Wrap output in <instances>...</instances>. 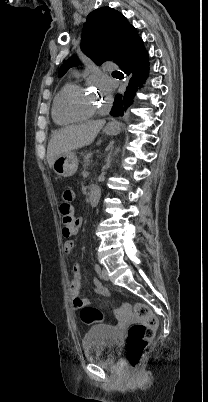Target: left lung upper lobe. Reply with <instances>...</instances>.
Wrapping results in <instances>:
<instances>
[{
    "label": "left lung upper lobe",
    "instance_id": "obj_1",
    "mask_svg": "<svg viewBox=\"0 0 208 402\" xmlns=\"http://www.w3.org/2000/svg\"><path fill=\"white\" fill-rule=\"evenodd\" d=\"M132 26L118 11L102 7L91 12L83 26L81 50L97 65L115 60ZM107 47V49H103ZM78 58L72 56L59 69L58 76H63L71 67L77 66Z\"/></svg>",
    "mask_w": 208,
    "mask_h": 402
}]
</instances>
